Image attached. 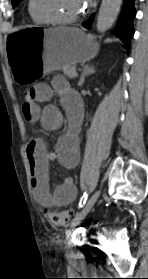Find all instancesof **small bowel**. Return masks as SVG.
I'll return each mask as SVG.
<instances>
[{"label": "small bowel", "instance_id": "1", "mask_svg": "<svg viewBox=\"0 0 148 279\" xmlns=\"http://www.w3.org/2000/svg\"><path fill=\"white\" fill-rule=\"evenodd\" d=\"M33 91L34 100L22 106L23 115L28 122H40L47 131H57L61 128L64 115L58 107L49 104L54 94H57L63 105L69 122V131L58 139L54 151H48L41 139L31 140L26 147L33 195L44 207L65 206L72 203L77 196L74 180L67 177L51 191L48 167L51 161H58L69 169L78 164L80 154L77 133L83 119V104L79 95L61 78H57L53 86L36 84ZM41 104L46 105L41 107Z\"/></svg>", "mask_w": 148, "mask_h": 279}]
</instances>
